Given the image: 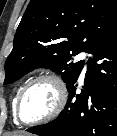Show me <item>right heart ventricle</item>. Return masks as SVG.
Wrapping results in <instances>:
<instances>
[{"label":"right heart ventricle","instance_id":"obj_1","mask_svg":"<svg viewBox=\"0 0 117 136\" xmlns=\"http://www.w3.org/2000/svg\"><path fill=\"white\" fill-rule=\"evenodd\" d=\"M22 87H23V85H21V86L17 89V91H16V93H15V95H14L13 102H12V104H13V110H15L16 100H17L18 94H19V92L21 91ZM15 120H16V119H15Z\"/></svg>","mask_w":117,"mask_h":136}]
</instances>
